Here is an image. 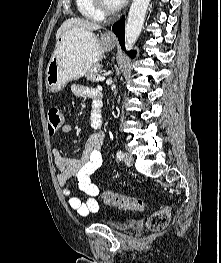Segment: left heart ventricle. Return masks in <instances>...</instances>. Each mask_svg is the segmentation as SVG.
<instances>
[{
    "mask_svg": "<svg viewBox=\"0 0 221 263\" xmlns=\"http://www.w3.org/2000/svg\"><path fill=\"white\" fill-rule=\"evenodd\" d=\"M104 1L105 4L109 7H116L119 5L116 0H104Z\"/></svg>",
    "mask_w": 221,
    "mask_h": 263,
    "instance_id": "obj_1",
    "label": "left heart ventricle"
}]
</instances>
